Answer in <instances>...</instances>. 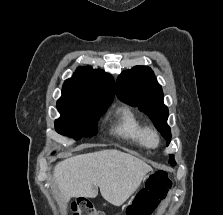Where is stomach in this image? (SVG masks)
<instances>
[{
  "instance_id": "0dacf381",
  "label": "stomach",
  "mask_w": 223,
  "mask_h": 215,
  "mask_svg": "<svg viewBox=\"0 0 223 215\" xmlns=\"http://www.w3.org/2000/svg\"><path fill=\"white\" fill-rule=\"evenodd\" d=\"M152 177H153V175H145L144 179H152ZM140 190H148V187H145L143 184V187Z\"/></svg>"
}]
</instances>
